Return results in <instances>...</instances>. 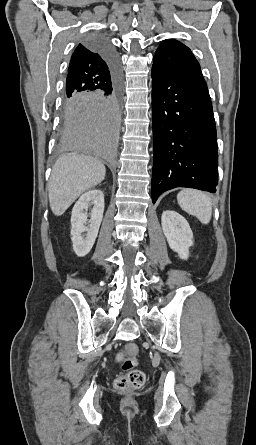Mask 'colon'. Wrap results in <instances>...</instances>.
Wrapping results in <instances>:
<instances>
[{"label":"colon","mask_w":256,"mask_h":445,"mask_svg":"<svg viewBox=\"0 0 256 445\" xmlns=\"http://www.w3.org/2000/svg\"><path fill=\"white\" fill-rule=\"evenodd\" d=\"M137 347L134 344H126L122 352L117 356L123 373L115 379V388L122 392L134 391L141 388L145 381L146 375L143 371L136 368L137 366Z\"/></svg>","instance_id":"1"}]
</instances>
